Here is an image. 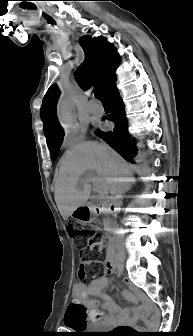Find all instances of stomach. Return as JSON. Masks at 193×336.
Returning <instances> with one entry per match:
<instances>
[{
    "label": "stomach",
    "mask_w": 193,
    "mask_h": 336,
    "mask_svg": "<svg viewBox=\"0 0 193 336\" xmlns=\"http://www.w3.org/2000/svg\"><path fill=\"white\" fill-rule=\"evenodd\" d=\"M71 217L79 223L89 224L94 220V212L91 207L84 205L76 208L72 212Z\"/></svg>",
    "instance_id": "stomach-1"
}]
</instances>
